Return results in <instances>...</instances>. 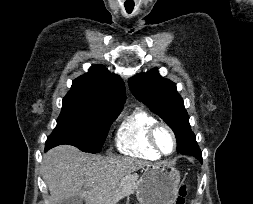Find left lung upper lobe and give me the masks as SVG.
I'll list each match as a JSON object with an SVG mask.
<instances>
[{
	"instance_id": "1",
	"label": "left lung upper lobe",
	"mask_w": 253,
	"mask_h": 204,
	"mask_svg": "<svg viewBox=\"0 0 253 204\" xmlns=\"http://www.w3.org/2000/svg\"><path fill=\"white\" fill-rule=\"evenodd\" d=\"M129 86L136 99L147 105L173 130L178 153L183 154L196 146L197 142L190 128L189 116L175 83L161 77L157 69H153L129 79Z\"/></svg>"
}]
</instances>
